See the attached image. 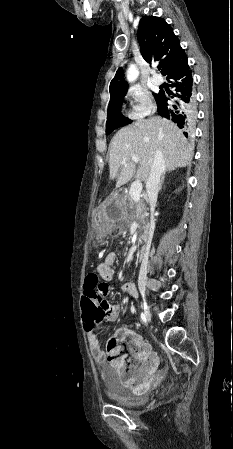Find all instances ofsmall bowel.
Masks as SVG:
<instances>
[{
  "instance_id": "1",
  "label": "small bowel",
  "mask_w": 233,
  "mask_h": 449,
  "mask_svg": "<svg viewBox=\"0 0 233 449\" xmlns=\"http://www.w3.org/2000/svg\"><path fill=\"white\" fill-rule=\"evenodd\" d=\"M119 254L116 251L109 252L104 261L100 263L96 270L101 279L100 285L96 288L101 292L98 297L100 307L104 308L103 323L115 321L120 313V306L113 303L110 298L112 289L107 282H110L115 275L114 264L118 260ZM137 285L125 284L121 287V291L125 295H137ZM96 328H85L87 332L89 346L96 364L99 366L102 376L112 370L119 378L123 385L136 390V399H147L148 392L145 389L154 377V373L158 367V356L152 347L138 334H132L131 346L134 349V359L130 367L127 366L125 356H120L119 361H111L107 351L101 348L98 336L95 332ZM122 350V345L120 346ZM130 370L131 375L126 373Z\"/></svg>"
}]
</instances>
